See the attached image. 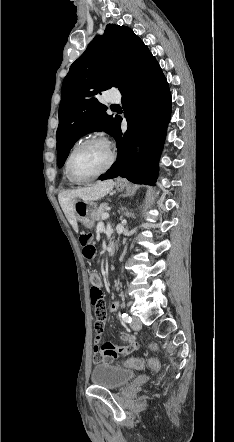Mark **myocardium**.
I'll return each mask as SVG.
<instances>
[{
    "label": "myocardium",
    "instance_id": "obj_1",
    "mask_svg": "<svg viewBox=\"0 0 234 442\" xmlns=\"http://www.w3.org/2000/svg\"><path fill=\"white\" fill-rule=\"evenodd\" d=\"M94 143H101L107 146L108 150H109V160L107 162V164L105 165V167L103 169H101L99 172L93 174L92 176H89L87 178H78L77 176L74 175V173L72 172L71 169V160L74 156V154L81 148L89 145V144H94ZM116 160V153L114 151V149L112 148L111 144L109 143V141L103 137H91L88 138L84 141H82L81 143H79L78 145H76L70 152L67 160H66V170H67V174L70 177V179L75 182V183H87L90 182L98 177H100L101 175L105 174L107 171H109L111 169V167L114 165Z\"/></svg>",
    "mask_w": 234,
    "mask_h": 442
}]
</instances>
